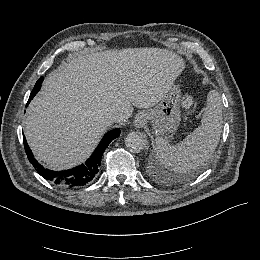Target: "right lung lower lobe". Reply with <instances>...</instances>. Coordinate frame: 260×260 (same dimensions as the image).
Instances as JSON below:
<instances>
[{
    "label": "right lung lower lobe",
    "mask_w": 260,
    "mask_h": 260,
    "mask_svg": "<svg viewBox=\"0 0 260 260\" xmlns=\"http://www.w3.org/2000/svg\"><path fill=\"white\" fill-rule=\"evenodd\" d=\"M43 79H44L43 77H40V79H38V81L36 82V85L30 94L27 105L32 100V98L36 95V93L40 90ZM119 135H120L119 129H114L106 133L103 139L101 140V142L99 143V145L97 146V148L95 149V151L93 152L92 156L84 164L60 172L46 169L42 165H40L37 162V160L33 157V154L27 144L24 135H23V141H24L25 151L30 163H32L34 168L43 178L62 187L74 188V187L84 186L93 180V178L97 175L99 171L101 158L105 149L108 147L109 143L113 139L117 138Z\"/></svg>",
    "instance_id": "1"
}]
</instances>
